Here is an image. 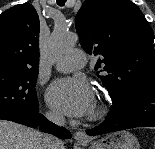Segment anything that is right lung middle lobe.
Listing matches in <instances>:
<instances>
[{
  "label": "right lung middle lobe",
  "mask_w": 155,
  "mask_h": 149,
  "mask_svg": "<svg viewBox=\"0 0 155 149\" xmlns=\"http://www.w3.org/2000/svg\"><path fill=\"white\" fill-rule=\"evenodd\" d=\"M37 76L38 71L0 69V115L24 120L38 110Z\"/></svg>",
  "instance_id": "1"
}]
</instances>
